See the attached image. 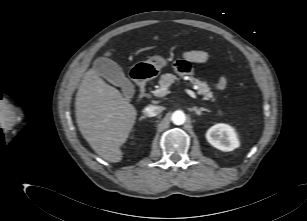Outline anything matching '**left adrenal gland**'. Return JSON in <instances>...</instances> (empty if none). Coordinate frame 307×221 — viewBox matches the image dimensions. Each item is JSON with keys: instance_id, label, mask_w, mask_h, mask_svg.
Returning a JSON list of instances; mask_svg holds the SVG:
<instances>
[{"instance_id": "left-adrenal-gland-1", "label": "left adrenal gland", "mask_w": 307, "mask_h": 221, "mask_svg": "<svg viewBox=\"0 0 307 221\" xmlns=\"http://www.w3.org/2000/svg\"><path fill=\"white\" fill-rule=\"evenodd\" d=\"M192 110L199 116L202 114L203 111L211 112L209 109H206L204 107H201V108L193 107Z\"/></svg>"}]
</instances>
